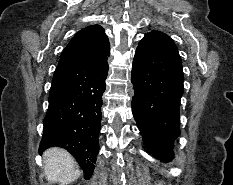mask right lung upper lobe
<instances>
[{"label": "right lung upper lobe", "instance_id": "right-lung-upper-lobe-1", "mask_svg": "<svg viewBox=\"0 0 233 185\" xmlns=\"http://www.w3.org/2000/svg\"><path fill=\"white\" fill-rule=\"evenodd\" d=\"M110 43L99 25L80 30L63 50L57 67L99 65L107 61Z\"/></svg>", "mask_w": 233, "mask_h": 185}]
</instances>
